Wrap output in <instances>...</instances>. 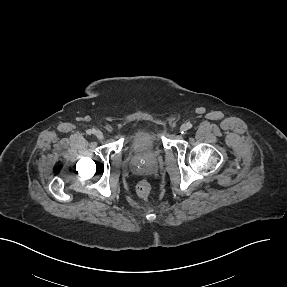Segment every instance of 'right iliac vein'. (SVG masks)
Wrapping results in <instances>:
<instances>
[{
    "mask_svg": "<svg viewBox=\"0 0 287 287\" xmlns=\"http://www.w3.org/2000/svg\"><path fill=\"white\" fill-rule=\"evenodd\" d=\"M95 136L97 137V139L102 140L104 138V135L101 131H96L95 132Z\"/></svg>",
    "mask_w": 287,
    "mask_h": 287,
    "instance_id": "63e3f726",
    "label": "right iliac vein"
}]
</instances>
